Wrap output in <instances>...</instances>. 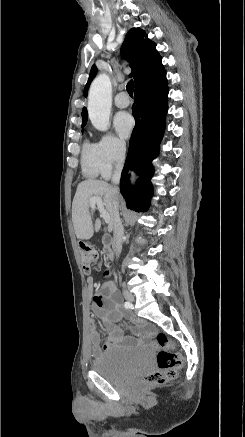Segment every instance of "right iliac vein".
<instances>
[{
    "label": "right iliac vein",
    "instance_id": "63e3f726",
    "mask_svg": "<svg viewBox=\"0 0 245 437\" xmlns=\"http://www.w3.org/2000/svg\"><path fill=\"white\" fill-rule=\"evenodd\" d=\"M123 295H124L125 299H126L127 301H129L130 303L133 302V301L135 300L134 295L131 294V293L128 292V291H123Z\"/></svg>",
    "mask_w": 245,
    "mask_h": 437
}]
</instances>
